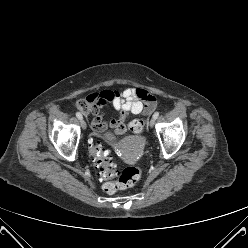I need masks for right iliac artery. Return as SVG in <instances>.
I'll return each instance as SVG.
<instances>
[{"mask_svg":"<svg viewBox=\"0 0 248 248\" xmlns=\"http://www.w3.org/2000/svg\"><path fill=\"white\" fill-rule=\"evenodd\" d=\"M76 117L80 120L82 119V115L79 112L76 113Z\"/></svg>","mask_w":248,"mask_h":248,"instance_id":"82829eb1","label":"right iliac artery"}]
</instances>
